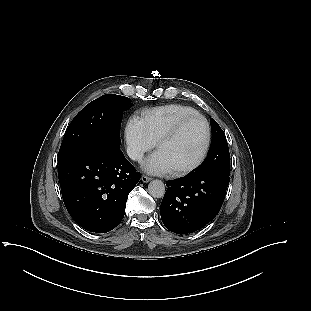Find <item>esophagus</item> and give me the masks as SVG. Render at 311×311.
<instances>
[{"label":"esophagus","mask_w":311,"mask_h":311,"mask_svg":"<svg viewBox=\"0 0 311 311\" xmlns=\"http://www.w3.org/2000/svg\"><path fill=\"white\" fill-rule=\"evenodd\" d=\"M151 180V178L150 177H147V176H145V175H142V177H141V181L143 182V183H147V182H149Z\"/></svg>","instance_id":"esophagus-1"}]
</instances>
